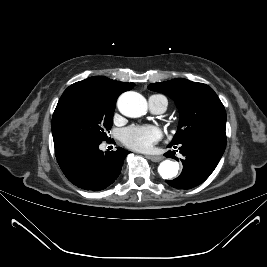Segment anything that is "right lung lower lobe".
I'll return each mask as SVG.
<instances>
[{
	"label": "right lung lower lobe",
	"instance_id": "right-lung-lower-lobe-1",
	"mask_svg": "<svg viewBox=\"0 0 267 267\" xmlns=\"http://www.w3.org/2000/svg\"><path fill=\"white\" fill-rule=\"evenodd\" d=\"M100 143H76L55 149L58 164L67 179L79 188L100 191L119 176L129 151L99 150Z\"/></svg>",
	"mask_w": 267,
	"mask_h": 267
}]
</instances>
